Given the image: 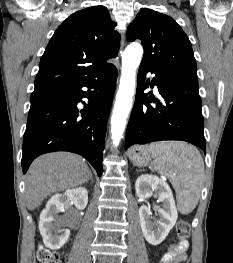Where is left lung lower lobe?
<instances>
[{
    "label": "left lung lower lobe",
    "instance_id": "left-lung-lower-lobe-1",
    "mask_svg": "<svg viewBox=\"0 0 233 263\" xmlns=\"http://www.w3.org/2000/svg\"><path fill=\"white\" fill-rule=\"evenodd\" d=\"M148 72L155 74L151 87L157 86L161 100L148 97L143 92L150 84L149 81L144 84ZM152 101L157 105L151 106ZM160 140H184L206 152L198 81L195 78L163 73L141 64L125 149L133 144Z\"/></svg>",
    "mask_w": 233,
    "mask_h": 263
}]
</instances>
